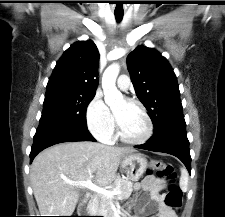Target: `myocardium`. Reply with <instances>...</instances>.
<instances>
[{"instance_id":"1","label":"myocardium","mask_w":225,"mask_h":217,"mask_svg":"<svg viewBox=\"0 0 225 217\" xmlns=\"http://www.w3.org/2000/svg\"><path fill=\"white\" fill-rule=\"evenodd\" d=\"M125 100L128 103L136 106L141 111V113L143 114V116L145 118L146 130H145V133L143 134V136L140 138H137V139L128 138L122 133L119 122L116 119L117 135H118L119 139L124 143L130 144V145L143 144V143L147 142L153 134V124H152L150 115H149L148 111L146 110L145 106L140 101L133 99V98H126Z\"/></svg>"}]
</instances>
